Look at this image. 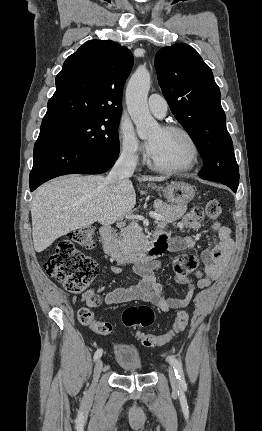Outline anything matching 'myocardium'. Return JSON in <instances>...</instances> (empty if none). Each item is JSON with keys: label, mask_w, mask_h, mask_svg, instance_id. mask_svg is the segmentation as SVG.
Wrapping results in <instances>:
<instances>
[{"label": "myocardium", "mask_w": 262, "mask_h": 431, "mask_svg": "<svg viewBox=\"0 0 262 431\" xmlns=\"http://www.w3.org/2000/svg\"><path fill=\"white\" fill-rule=\"evenodd\" d=\"M162 130L167 132H176L181 135H183L190 145V156L188 161L184 165L180 166H165L158 164L155 162L151 156L148 157V165L160 172L164 173H184L192 170L194 166L196 165L198 158H199V146L197 144V141L195 140L194 136L183 126L176 125V124H164L160 127Z\"/></svg>", "instance_id": "myocardium-1"}]
</instances>
